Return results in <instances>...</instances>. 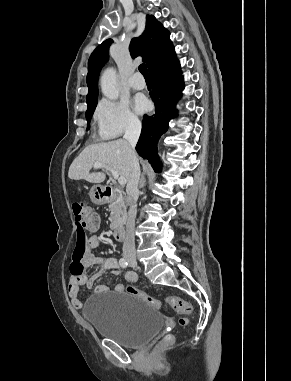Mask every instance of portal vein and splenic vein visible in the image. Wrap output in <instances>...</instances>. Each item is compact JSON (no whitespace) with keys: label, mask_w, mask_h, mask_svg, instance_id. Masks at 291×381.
<instances>
[{"label":"portal vein and splenic vein","mask_w":291,"mask_h":381,"mask_svg":"<svg viewBox=\"0 0 291 381\" xmlns=\"http://www.w3.org/2000/svg\"><path fill=\"white\" fill-rule=\"evenodd\" d=\"M93 167L95 169H98V168H105L107 171H110V173L112 174V176L114 177V179H117L118 180V183L120 185H124L126 183V180L124 178H121L119 177V174L116 170H114L112 167H109L107 165H104L102 163H94Z\"/></svg>","instance_id":"1"}]
</instances>
